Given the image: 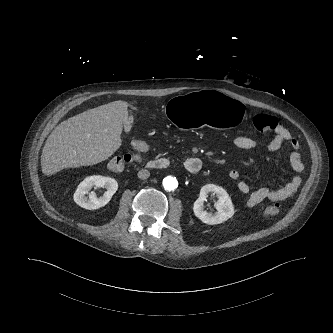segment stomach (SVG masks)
Returning <instances> with one entry per match:
<instances>
[{
	"label": "stomach",
	"mask_w": 333,
	"mask_h": 333,
	"mask_svg": "<svg viewBox=\"0 0 333 333\" xmlns=\"http://www.w3.org/2000/svg\"><path fill=\"white\" fill-rule=\"evenodd\" d=\"M166 111L173 124L182 130L196 129L203 124L211 129L231 130L243 118L241 103L210 90L173 97Z\"/></svg>",
	"instance_id": "obj_1"
}]
</instances>
